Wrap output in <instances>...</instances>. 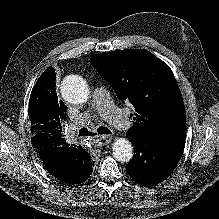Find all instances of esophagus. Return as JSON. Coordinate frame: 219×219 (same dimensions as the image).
<instances>
[{
    "label": "esophagus",
    "instance_id": "1",
    "mask_svg": "<svg viewBox=\"0 0 219 219\" xmlns=\"http://www.w3.org/2000/svg\"><path fill=\"white\" fill-rule=\"evenodd\" d=\"M112 136L111 135H104V136H99L96 139V144L97 146H104L107 145L111 142Z\"/></svg>",
    "mask_w": 219,
    "mask_h": 219
}]
</instances>
